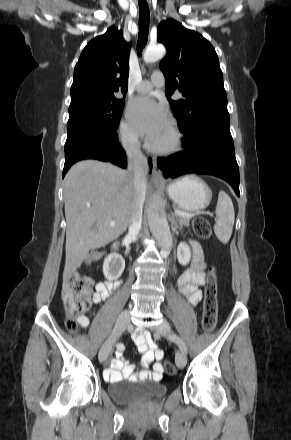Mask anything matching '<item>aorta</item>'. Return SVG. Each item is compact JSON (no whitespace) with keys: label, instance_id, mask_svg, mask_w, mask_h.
I'll use <instances>...</instances> for the list:
<instances>
[{"label":"aorta","instance_id":"1","mask_svg":"<svg viewBox=\"0 0 291 440\" xmlns=\"http://www.w3.org/2000/svg\"><path fill=\"white\" fill-rule=\"evenodd\" d=\"M164 55L165 48L163 45H150L145 50L143 59L146 63H153L160 60ZM147 216L152 235L156 238L161 248L169 249L172 246L173 239L165 212L152 205L148 209Z\"/></svg>","mask_w":291,"mask_h":440}]
</instances>
